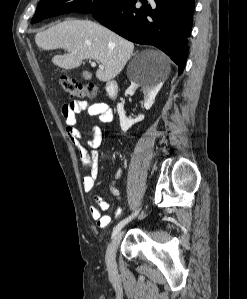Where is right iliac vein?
<instances>
[{"instance_id":"63e3f726","label":"right iliac vein","mask_w":247,"mask_h":299,"mask_svg":"<svg viewBox=\"0 0 247 299\" xmlns=\"http://www.w3.org/2000/svg\"><path fill=\"white\" fill-rule=\"evenodd\" d=\"M124 235V231L118 232L115 237L112 239L111 243L108 245L107 251H106V262L111 271L114 270L115 267V257H116V251L119 247V244L122 240V237Z\"/></svg>"}]
</instances>
